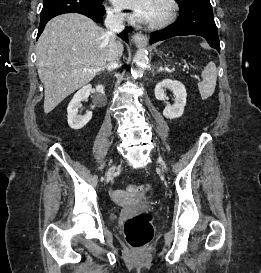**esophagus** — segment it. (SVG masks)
Wrapping results in <instances>:
<instances>
[{
    "label": "esophagus",
    "instance_id": "34e87169",
    "mask_svg": "<svg viewBox=\"0 0 261 273\" xmlns=\"http://www.w3.org/2000/svg\"><path fill=\"white\" fill-rule=\"evenodd\" d=\"M132 39L136 45H145L147 43V37L141 32L133 34Z\"/></svg>",
    "mask_w": 261,
    "mask_h": 273
}]
</instances>
